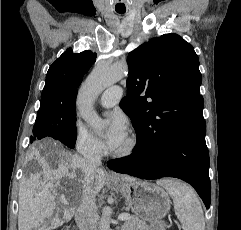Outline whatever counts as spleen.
Listing matches in <instances>:
<instances>
[{"label":"spleen","instance_id":"3e777b00","mask_svg":"<svg viewBox=\"0 0 241 230\" xmlns=\"http://www.w3.org/2000/svg\"><path fill=\"white\" fill-rule=\"evenodd\" d=\"M174 203L175 214L185 230H205V220L199 198L195 191L185 183L175 180H161Z\"/></svg>","mask_w":241,"mask_h":230}]
</instances>
